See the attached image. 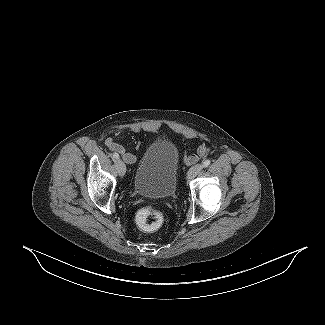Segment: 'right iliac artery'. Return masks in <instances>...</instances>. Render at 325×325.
<instances>
[{"label":"right iliac artery","instance_id":"right-iliac-artery-1","mask_svg":"<svg viewBox=\"0 0 325 325\" xmlns=\"http://www.w3.org/2000/svg\"><path fill=\"white\" fill-rule=\"evenodd\" d=\"M112 155H113L114 159H116V160L119 159V155L117 153H113Z\"/></svg>","mask_w":325,"mask_h":325}]
</instances>
